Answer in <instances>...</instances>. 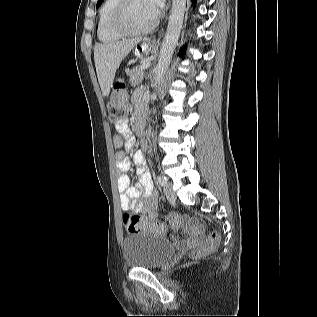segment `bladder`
I'll return each instance as SVG.
<instances>
[{
	"label": "bladder",
	"instance_id": "obj_1",
	"mask_svg": "<svg viewBox=\"0 0 317 317\" xmlns=\"http://www.w3.org/2000/svg\"><path fill=\"white\" fill-rule=\"evenodd\" d=\"M122 250L128 266L144 269L159 268L175 254V248L167 238L150 232L126 236Z\"/></svg>",
	"mask_w": 317,
	"mask_h": 317
}]
</instances>
